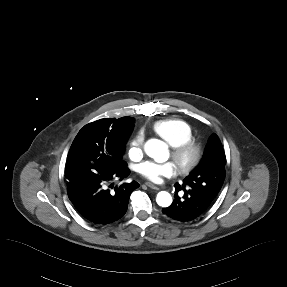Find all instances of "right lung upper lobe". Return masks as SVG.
<instances>
[{
  "label": "right lung upper lobe",
  "instance_id": "obj_1",
  "mask_svg": "<svg viewBox=\"0 0 287 287\" xmlns=\"http://www.w3.org/2000/svg\"><path fill=\"white\" fill-rule=\"evenodd\" d=\"M133 122L132 117L126 116L119 119H100L89 123L88 126L99 138L110 143L128 138L134 128Z\"/></svg>",
  "mask_w": 287,
  "mask_h": 287
}]
</instances>
